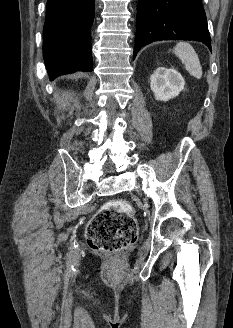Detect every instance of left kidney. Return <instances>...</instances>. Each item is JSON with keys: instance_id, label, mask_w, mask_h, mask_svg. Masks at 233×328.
I'll return each mask as SVG.
<instances>
[{"instance_id": "1", "label": "left kidney", "mask_w": 233, "mask_h": 328, "mask_svg": "<svg viewBox=\"0 0 233 328\" xmlns=\"http://www.w3.org/2000/svg\"><path fill=\"white\" fill-rule=\"evenodd\" d=\"M185 81L174 68L158 67L150 77V87L158 101H168L184 90Z\"/></svg>"}]
</instances>
